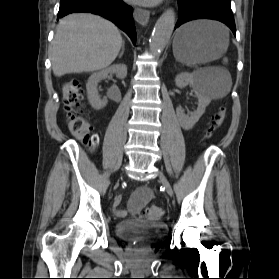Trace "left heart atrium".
I'll return each instance as SVG.
<instances>
[{
  "label": "left heart atrium",
  "mask_w": 279,
  "mask_h": 279,
  "mask_svg": "<svg viewBox=\"0 0 279 279\" xmlns=\"http://www.w3.org/2000/svg\"><path fill=\"white\" fill-rule=\"evenodd\" d=\"M127 1L148 5V4H155L160 0H127Z\"/></svg>",
  "instance_id": "1"
}]
</instances>
